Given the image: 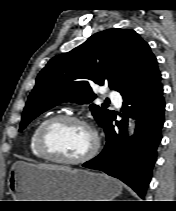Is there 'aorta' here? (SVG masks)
Instances as JSON below:
<instances>
[{
    "label": "aorta",
    "mask_w": 176,
    "mask_h": 211,
    "mask_svg": "<svg viewBox=\"0 0 176 211\" xmlns=\"http://www.w3.org/2000/svg\"><path fill=\"white\" fill-rule=\"evenodd\" d=\"M134 128H135V125L134 123H131L130 126H129V132H130V135L133 134L134 132Z\"/></svg>",
    "instance_id": "aorta-1"
}]
</instances>
